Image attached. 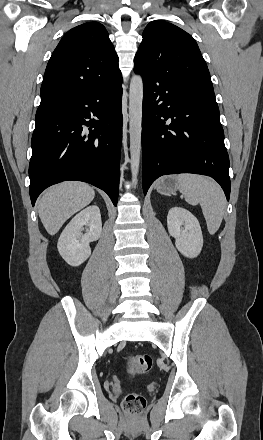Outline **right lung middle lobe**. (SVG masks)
I'll list each match as a JSON object with an SVG mask.
<instances>
[{
  "label": "right lung middle lobe",
  "mask_w": 263,
  "mask_h": 440,
  "mask_svg": "<svg viewBox=\"0 0 263 440\" xmlns=\"http://www.w3.org/2000/svg\"><path fill=\"white\" fill-rule=\"evenodd\" d=\"M47 111H48V106L38 107L37 112H36V118L42 116V115L45 114Z\"/></svg>",
  "instance_id": "obj_1"
}]
</instances>
